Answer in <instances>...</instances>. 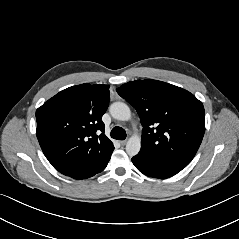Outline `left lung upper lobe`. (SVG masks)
Listing matches in <instances>:
<instances>
[{"mask_svg": "<svg viewBox=\"0 0 239 239\" xmlns=\"http://www.w3.org/2000/svg\"><path fill=\"white\" fill-rule=\"evenodd\" d=\"M138 112L145 158L183 169L194 158L205 132L202 103L180 87L152 79L116 89Z\"/></svg>", "mask_w": 239, "mask_h": 239, "instance_id": "1", "label": "left lung upper lobe"}]
</instances>
